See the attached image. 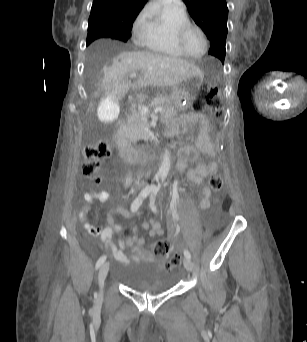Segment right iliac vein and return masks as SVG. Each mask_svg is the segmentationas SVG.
I'll return each mask as SVG.
<instances>
[{
	"label": "right iliac vein",
	"mask_w": 307,
	"mask_h": 342,
	"mask_svg": "<svg viewBox=\"0 0 307 342\" xmlns=\"http://www.w3.org/2000/svg\"><path fill=\"white\" fill-rule=\"evenodd\" d=\"M108 270H109V263L106 262L102 265V267L100 268L99 272H98V284L100 287V295H102L103 290H104V281L107 277L108 274Z\"/></svg>",
	"instance_id": "obj_1"
}]
</instances>
